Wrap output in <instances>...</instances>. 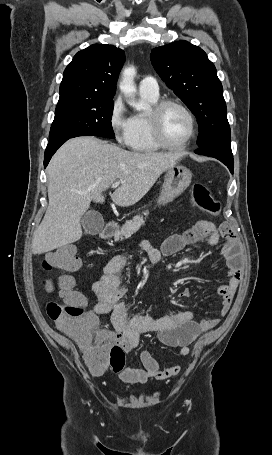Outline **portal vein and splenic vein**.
Wrapping results in <instances>:
<instances>
[{"instance_id":"obj_1","label":"portal vein and splenic vein","mask_w":272,"mask_h":455,"mask_svg":"<svg viewBox=\"0 0 272 455\" xmlns=\"http://www.w3.org/2000/svg\"><path fill=\"white\" fill-rule=\"evenodd\" d=\"M120 181H115L113 184H112V188H117L119 185H120Z\"/></svg>"}]
</instances>
